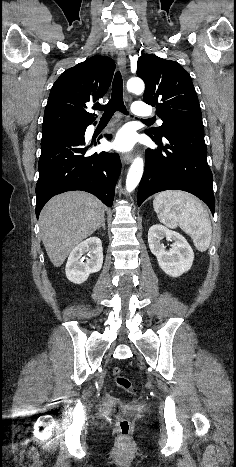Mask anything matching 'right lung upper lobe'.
Wrapping results in <instances>:
<instances>
[{"label":"right lung upper lobe","mask_w":236,"mask_h":467,"mask_svg":"<svg viewBox=\"0 0 236 467\" xmlns=\"http://www.w3.org/2000/svg\"><path fill=\"white\" fill-rule=\"evenodd\" d=\"M114 70L111 58L93 56L62 73L51 88L42 132L92 124L96 117L86 111L87 105L105 95Z\"/></svg>","instance_id":"right-lung-upper-lobe-1"}]
</instances>
